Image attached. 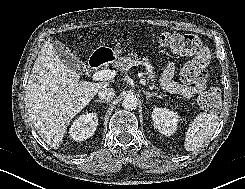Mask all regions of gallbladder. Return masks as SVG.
<instances>
[{
	"label": "gallbladder",
	"mask_w": 245,
	"mask_h": 189,
	"mask_svg": "<svg viewBox=\"0 0 245 189\" xmlns=\"http://www.w3.org/2000/svg\"><path fill=\"white\" fill-rule=\"evenodd\" d=\"M53 48L62 62L71 70L77 71L83 74L87 66L75 55H73L70 49L60 41L53 42Z\"/></svg>",
	"instance_id": "obj_1"
}]
</instances>
